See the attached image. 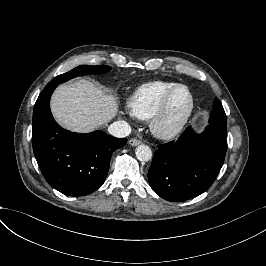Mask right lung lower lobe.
Segmentation results:
<instances>
[{"mask_svg":"<svg viewBox=\"0 0 266 266\" xmlns=\"http://www.w3.org/2000/svg\"><path fill=\"white\" fill-rule=\"evenodd\" d=\"M58 85L47 84L36 101L32 121L34 155L53 188L69 196L88 195L104 183L112 153L127 139L100 130L81 134L61 128L50 111V97Z\"/></svg>","mask_w":266,"mask_h":266,"instance_id":"obj_1","label":"right lung lower lobe"}]
</instances>
